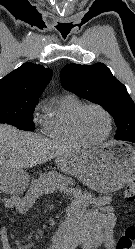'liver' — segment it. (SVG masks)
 I'll use <instances>...</instances> for the list:
<instances>
[{
	"label": "liver",
	"mask_w": 135,
	"mask_h": 249,
	"mask_svg": "<svg viewBox=\"0 0 135 249\" xmlns=\"http://www.w3.org/2000/svg\"><path fill=\"white\" fill-rule=\"evenodd\" d=\"M79 149L0 124V166L6 170L31 168Z\"/></svg>",
	"instance_id": "6515ba94"
}]
</instances>
